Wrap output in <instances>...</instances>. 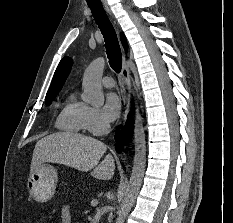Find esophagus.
<instances>
[{
  "mask_svg": "<svg viewBox=\"0 0 233 223\" xmlns=\"http://www.w3.org/2000/svg\"><path fill=\"white\" fill-rule=\"evenodd\" d=\"M104 5H105L107 12L109 14H111L106 1H104ZM121 75H122V78H123V81L125 84V92H124L125 96H124V100H123V107H124L123 121L125 123V121L127 119L128 110H129L130 94H131L130 71H129V67L127 65L125 53H123V67H122Z\"/></svg>",
  "mask_w": 233,
  "mask_h": 223,
  "instance_id": "34e87169",
  "label": "esophagus"
}]
</instances>
